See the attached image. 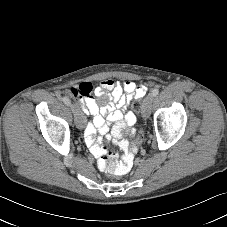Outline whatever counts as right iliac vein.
Here are the masks:
<instances>
[{"label": "right iliac vein", "instance_id": "obj_1", "mask_svg": "<svg viewBox=\"0 0 227 227\" xmlns=\"http://www.w3.org/2000/svg\"><path fill=\"white\" fill-rule=\"evenodd\" d=\"M71 109L74 115V122L76 127L78 129H83L85 125V118L83 116V113L76 104L71 105Z\"/></svg>", "mask_w": 227, "mask_h": 227}]
</instances>
